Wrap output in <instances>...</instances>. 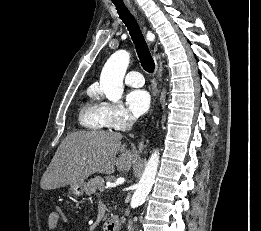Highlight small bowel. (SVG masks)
<instances>
[{"instance_id":"small-bowel-1","label":"small bowel","mask_w":261,"mask_h":231,"mask_svg":"<svg viewBox=\"0 0 261 231\" xmlns=\"http://www.w3.org/2000/svg\"><path fill=\"white\" fill-rule=\"evenodd\" d=\"M65 222V215L62 213L60 209L52 211L47 217V226L50 231L56 230L59 222Z\"/></svg>"}]
</instances>
